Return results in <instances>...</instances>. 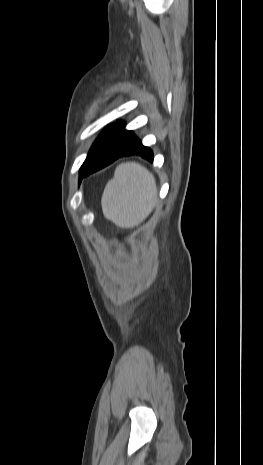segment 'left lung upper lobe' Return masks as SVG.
Returning a JSON list of instances; mask_svg holds the SVG:
<instances>
[{"instance_id":"obj_1","label":"left lung upper lobe","mask_w":263,"mask_h":465,"mask_svg":"<svg viewBox=\"0 0 263 465\" xmlns=\"http://www.w3.org/2000/svg\"><path fill=\"white\" fill-rule=\"evenodd\" d=\"M98 139H99V138H98ZM98 139H97V140L95 141V143L93 144V146H92V148H91L90 152L88 153V156H87V158H86L85 162L87 161V159H88V157H89L90 153L92 152V150H93L94 146L96 145V143H97ZM85 162L83 163V165L81 166V169H80V179L82 178V176H81V170H82V167L84 166Z\"/></svg>"}]
</instances>
